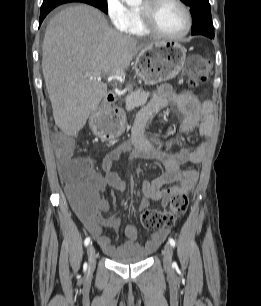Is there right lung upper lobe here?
I'll list each match as a JSON object with an SVG mask.
<instances>
[{"label": "right lung upper lobe", "mask_w": 261, "mask_h": 306, "mask_svg": "<svg viewBox=\"0 0 261 306\" xmlns=\"http://www.w3.org/2000/svg\"><path fill=\"white\" fill-rule=\"evenodd\" d=\"M65 1L82 2V0H65Z\"/></svg>", "instance_id": "cb5924a9"}]
</instances>
